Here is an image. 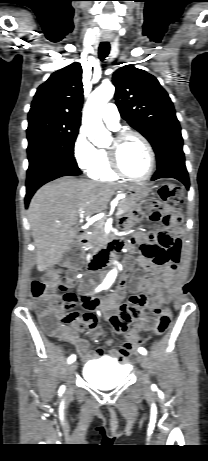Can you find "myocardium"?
I'll use <instances>...</instances> for the list:
<instances>
[{"label": "myocardium", "instance_id": "myocardium-1", "mask_svg": "<svg viewBox=\"0 0 208 461\" xmlns=\"http://www.w3.org/2000/svg\"><path fill=\"white\" fill-rule=\"evenodd\" d=\"M130 137L138 138L144 144V146L147 149L148 154H149V160H150L149 168H148L147 173L142 177H135V176H131V175L127 174L123 170V168H122V166L120 164V161H119V149H120V146L126 139H128ZM114 142H115L114 147L108 148L106 150V153L108 155V160H109L110 167H111V169L113 170V172L116 175H118L120 177H123V178H126V179H129V180H132V181H138V182L146 181L153 175L154 170H155V166H156L155 152L153 150L152 145L150 144L148 139L143 134H141L138 131H134V130H125V131H122V132L118 133L114 137Z\"/></svg>", "mask_w": 208, "mask_h": 461}]
</instances>
